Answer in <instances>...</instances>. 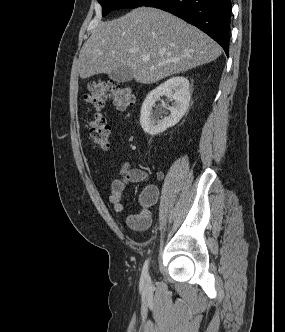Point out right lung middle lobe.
Segmentation results:
<instances>
[{"label": "right lung middle lobe", "instance_id": "right-lung-middle-lobe-1", "mask_svg": "<svg viewBox=\"0 0 285 332\" xmlns=\"http://www.w3.org/2000/svg\"><path fill=\"white\" fill-rule=\"evenodd\" d=\"M148 0H98L102 6L103 16L120 8H135L142 6Z\"/></svg>", "mask_w": 285, "mask_h": 332}]
</instances>
